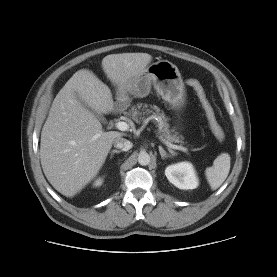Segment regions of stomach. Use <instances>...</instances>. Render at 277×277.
I'll use <instances>...</instances> for the list:
<instances>
[{
  "label": "stomach",
  "instance_id": "stomach-1",
  "mask_svg": "<svg viewBox=\"0 0 277 277\" xmlns=\"http://www.w3.org/2000/svg\"><path fill=\"white\" fill-rule=\"evenodd\" d=\"M164 101L180 110L185 103V87L176 65L168 60H159L147 66L124 89H117L114 105L124 110L130 105V97H145L150 93L151 86Z\"/></svg>",
  "mask_w": 277,
  "mask_h": 277
}]
</instances>
